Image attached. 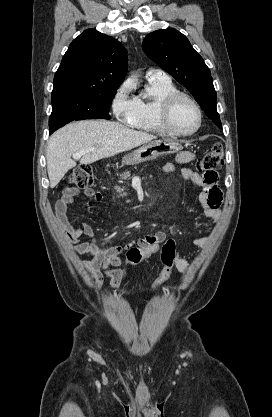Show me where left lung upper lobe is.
I'll use <instances>...</instances> for the list:
<instances>
[{
    "instance_id": "left-lung-upper-lobe-1",
    "label": "left lung upper lobe",
    "mask_w": 272,
    "mask_h": 417,
    "mask_svg": "<svg viewBox=\"0 0 272 417\" xmlns=\"http://www.w3.org/2000/svg\"><path fill=\"white\" fill-rule=\"evenodd\" d=\"M142 48L150 59L185 86L205 114L222 128L211 72L189 40L176 29H161L147 35Z\"/></svg>"
}]
</instances>
